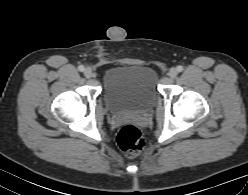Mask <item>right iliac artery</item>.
<instances>
[{"label": "right iliac artery", "mask_w": 248, "mask_h": 195, "mask_svg": "<svg viewBox=\"0 0 248 195\" xmlns=\"http://www.w3.org/2000/svg\"><path fill=\"white\" fill-rule=\"evenodd\" d=\"M78 70L81 71V72H83V71L85 70V68H84L83 65H80V66L78 67Z\"/></svg>", "instance_id": "right-iliac-artery-1"}]
</instances>
